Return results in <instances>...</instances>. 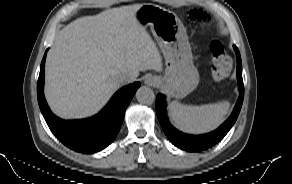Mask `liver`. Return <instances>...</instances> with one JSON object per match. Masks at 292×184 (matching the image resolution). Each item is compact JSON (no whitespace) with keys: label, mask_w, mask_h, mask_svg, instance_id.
<instances>
[{"label":"liver","mask_w":292,"mask_h":184,"mask_svg":"<svg viewBox=\"0 0 292 184\" xmlns=\"http://www.w3.org/2000/svg\"><path fill=\"white\" fill-rule=\"evenodd\" d=\"M119 8L80 18L66 26L46 59L44 93L64 119L95 115L110 100L121 75L157 69L160 58L134 17Z\"/></svg>","instance_id":"liver-1"}]
</instances>
